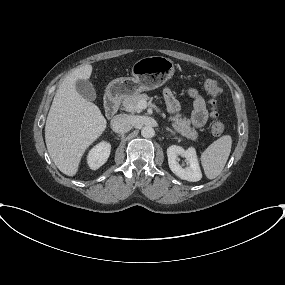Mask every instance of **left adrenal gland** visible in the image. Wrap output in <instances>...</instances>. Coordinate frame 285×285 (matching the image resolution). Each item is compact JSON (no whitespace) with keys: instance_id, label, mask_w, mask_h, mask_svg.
Masks as SVG:
<instances>
[{"instance_id":"obj_1","label":"left adrenal gland","mask_w":285,"mask_h":285,"mask_svg":"<svg viewBox=\"0 0 285 285\" xmlns=\"http://www.w3.org/2000/svg\"><path fill=\"white\" fill-rule=\"evenodd\" d=\"M167 131H169L171 134L175 135V132L173 130H171L170 128L166 127L165 128Z\"/></svg>"}]
</instances>
